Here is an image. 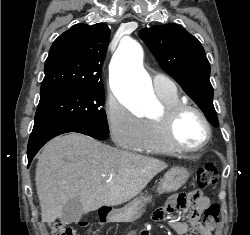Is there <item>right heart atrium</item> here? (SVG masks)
<instances>
[{
    "mask_svg": "<svg viewBox=\"0 0 250 235\" xmlns=\"http://www.w3.org/2000/svg\"><path fill=\"white\" fill-rule=\"evenodd\" d=\"M105 117L111 137L118 146L128 150L141 146L145 135L143 118L114 97L107 100Z\"/></svg>",
    "mask_w": 250,
    "mask_h": 235,
    "instance_id": "right-heart-atrium-1",
    "label": "right heart atrium"
}]
</instances>
